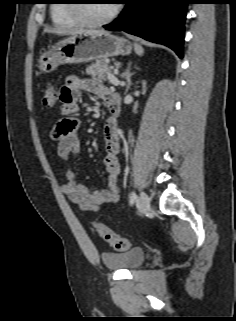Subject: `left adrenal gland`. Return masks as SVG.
Listing matches in <instances>:
<instances>
[{"mask_svg":"<svg viewBox=\"0 0 236 321\" xmlns=\"http://www.w3.org/2000/svg\"><path fill=\"white\" fill-rule=\"evenodd\" d=\"M131 69V63H128L127 69L124 73L125 79L127 81V86H126V90L125 92L127 93L128 90L130 89L131 86V76L133 75V73L130 72Z\"/></svg>","mask_w":236,"mask_h":321,"instance_id":"1","label":"left adrenal gland"}]
</instances>
